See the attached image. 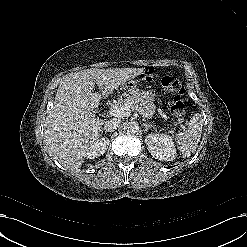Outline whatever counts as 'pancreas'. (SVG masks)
Masks as SVG:
<instances>
[{
	"label": "pancreas",
	"instance_id": "cf45deb5",
	"mask_svg": "<svg viewBox=\"0 0 247 247\" xmlns=\"http://www.w3.org/2000/svg\"><path fill=\"white\" fill-rule=\"evenodd\" d=\"M118 105H129L131 111L137 110L144 117L151 119L155 113V104L144 95V91L138 90L134 96L118 101Z\"/></svg>",
	"mask_w": 247,
	"mask_h": 247
}]
</instances>
